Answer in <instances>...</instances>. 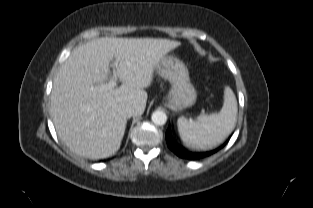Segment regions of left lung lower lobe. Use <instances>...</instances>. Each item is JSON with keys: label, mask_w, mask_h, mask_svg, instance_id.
<instances>
[{"label": "left lung lower lobe", "mask_w": 313, "mask_h": 208, "mask_svg": "<svg viewBox=\"0 0 313 208\" xmlns=\"http://www.w3.org/2000/svg\"><path fill=\"white\" fill-rule=\"evenodd\" d=\"M166 141H167L168 147L176 155H178L181 158H185V159H200V158L209 156V155H211V154H213L219 150V148L212 150V151H208V152H190L188 150H185V149H183L177 145V143L175 142V140L171 136L170 129H168L166 131Z\"/></svg>", "instance_id": "0a47b994"}]
</instances>
